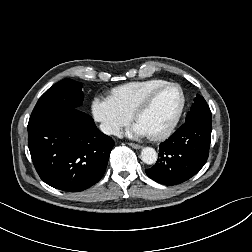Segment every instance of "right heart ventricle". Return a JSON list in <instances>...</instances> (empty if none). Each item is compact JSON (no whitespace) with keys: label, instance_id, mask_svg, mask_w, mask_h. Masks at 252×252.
Instances as JSON below:
<instances>
[{"label":"right heart ventricle","instance_id":"obj_1","mask_svg":"<svg viewBox=\"0 0 252 252\" xmlns=\"http://www.w3.org/2000/svg\"><path fill=\"white\" fill-rule=\"evenodd\" d=\"M164 79L129 82L112 89L111 97L125 110L133 113L140 101L154 88L166 83Z\"/></svg>","mask_w":252,"mask_h":252}]
</instances>
